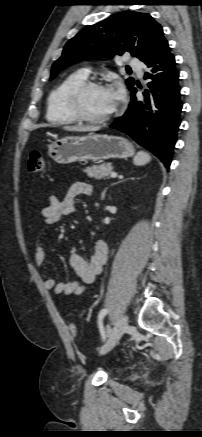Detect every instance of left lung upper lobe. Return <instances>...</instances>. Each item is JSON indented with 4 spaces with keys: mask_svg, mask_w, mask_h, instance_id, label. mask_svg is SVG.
I'll return each mask as SVG.
<instances>
[{
    "mask_svg": "<svg viewBox=\"0 0 202 437\" xmlns=\"http://www.w3.org/2000/svg\"><path fill=\"white\" fill-rule=\"evenodd\" d=\"M160 24L148 13L125 11L97 23L70 39L62 56L53 64L51 79L60 70L83 60H105L130 52L145 64L167 44ZM126 85L133 89L134 79Z\"/></svg>",
    "mask_w": 202,
    "mask_h": 437,
    "instance_id": "1",
    "label": "left lung upper lobe"
}]
</instances>
